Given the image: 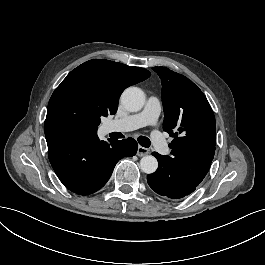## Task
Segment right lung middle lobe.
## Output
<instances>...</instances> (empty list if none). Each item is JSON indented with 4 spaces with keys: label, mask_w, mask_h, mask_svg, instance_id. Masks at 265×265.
Here are the masks:
<instances>
[{
    "label": "right lung middle lobe",
    "mask_w": 265,
    "mask_h": 265,
    "mask_svg": "<svg viewBox=\"0 0 265 265\" xmlns=\"http://www.w3.org/2000/svg\"><path fill=\"white\" fill-rule=\"evenodd\" d=\"M116 111V103L95 74L70 72L50 98L45 125H64L95 133L101 117Z\"/></svg>",
    "instance_id": "dd1d6c3e"
}]
</instances>
